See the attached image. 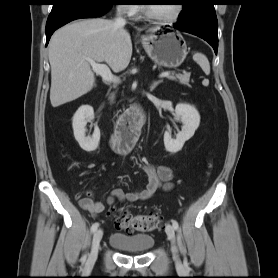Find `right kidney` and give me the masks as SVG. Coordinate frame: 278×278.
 <instances>
[{
  "mask_svg": "<svg viewBox=\"0 0 278 278\" xmlns=\"http://www.w3.org/2000/svg\"><path fill=\"white\" fill-rule=\"evenodd\" d=\"M94 118V110L89 105H82L76 111L72 120V127L74 131V136L79 146L86 152L95 151L99 145L100 141V130L97 125H95L94 132L92 136H86V124L87 121Z\"/></svg>",
  "mask_w": 278,
  "mask_h": 278,
  "instance_id": "1",
  "label": "right kidney"
}]
</instances>
